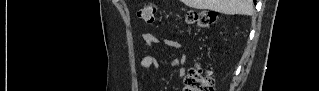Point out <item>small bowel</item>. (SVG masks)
Returning a JSON list of instances; mask_svg holds the SVG:
<instances>
[{"instance_id":"obj_1","label":"small bowel","mask_w":319,"mask_h":91,"mask_svg":"<svg viewBox=\"0 0 319 91\" xmlns=\"http://www.w3.org/2000/svg\"><path fill=\"white\" fill-rule=\"evenodd\" d=\"M144 42L149 46H161L170 49H180L182 44L179 40L176 39H158L152 33H144L142 35ZM186 55L181 54L180 56L172 59L170 61L171 66L178 68V75L180 77H185L186 68L184 64L186 62ZM140 66L144 69L156 68L158 66L157 59L154 56L148 55L141 59Z\"/></svg>"}]
</instances>
